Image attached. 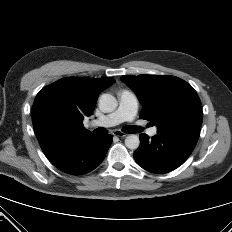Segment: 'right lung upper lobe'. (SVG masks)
I'll list each match as a JSON object with an SVG mask.
<instances>
[{
  "label": "right lung upper lobe",
  "instance_id": "cb5924a9",
  "mask_svg": "<svg viewBox=\"0 0 232 232\" xmlns=\"http://www.w3.org/2000/svg\"><path fill=\"white\" fill-rule=\"evenodd\" d=\"M114 82L110 77H69L41 89L33 103L32 120L42 151L92 135L83 119L93 113L98 94Z\"/></svg>",
  "mask_w": 232,
  "mask_h": 232
}]
</instances>
